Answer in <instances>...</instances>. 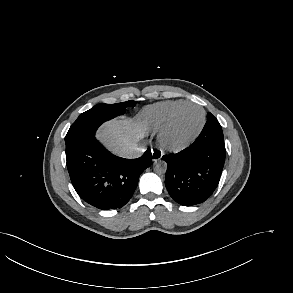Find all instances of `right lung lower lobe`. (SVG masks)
Returning <instances> with one entry per match:
<instances>
[{
	"mask_svg": "<svg viewBox=\"0 0 293 293\" xmlns=\"http://www.w3.org/2000/svg\"><path fill=\"white\" fill-rule=\"evenodd\" d=\"M97 128L65 140L70 179L90 205L102 210L121 208L132 197L140 174L152 164L153 157L149 150L137 159L113 155L96 140Z\"/></svg>",
	"mask_w": 293,
	"mask_h": 293,
	"instance_id": "1",
	"label": "right lung lower lobe"
}]
</instances>
